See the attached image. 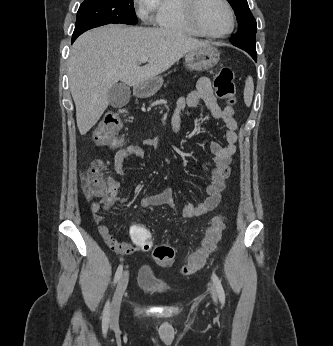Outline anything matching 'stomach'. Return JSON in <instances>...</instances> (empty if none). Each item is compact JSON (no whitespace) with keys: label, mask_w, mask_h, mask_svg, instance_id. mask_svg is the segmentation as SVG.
Wrapping results in <instances>:
<instances>
[{"label":"stomach","mask_w":333,"mask_h":346,"mask_svg":"<svg viewBox=\"0 0 333 346\" xmlns=\"http://www.w3.org/2000/svg\"><path fill=\"white\" fill-rule=\"evenodd\" d=\"M220 60L219 51L211 46H202L189 51L185 56L186 66L190 70L204 71L214 67ZM163 79L160 76L153 77L134 87V94L138 98L153 96L162 86Z\"/></svg>","instance_id":"stomach-1"}]
</instances>
